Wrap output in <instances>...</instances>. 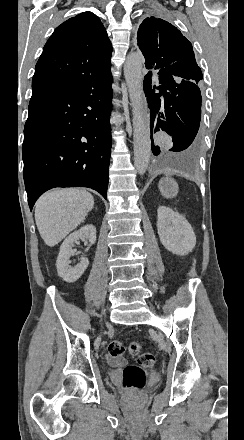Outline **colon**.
Here are the masks:
<instances>
[{
	"label": "colon",
	"mask_w": 244,
	"mask_h": 440,
	"mask_svg": "<svg viewBox=\"0 0 244 440\" xmlns=\"http://www.w3.org/2000/svg\"><path fill=\"white\" fill-rule=\"evenodd\" d=\"M109 354L115 358L122 357L125 351L121 341H111L108 344ZM128 353L137 357L138 366L127 365L122 376V384L125 390L132 392L131 389L141 390L147 385V373L142 367L151 368L156 362L154 354L145 352L142 344L139 342H131L128 345Z\"/></svg>",
	"instance_id": "colon-1"
}]
</instances>
